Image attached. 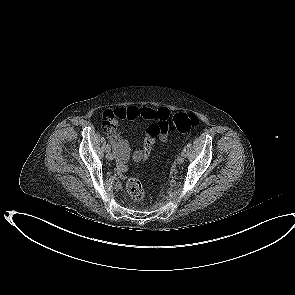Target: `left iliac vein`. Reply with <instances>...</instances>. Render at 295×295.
<instances>
[{"label":"left iliac vein","instance_id":"4c4485c4","mask_svg":"<svg viewBox=\"0 0 295 295\" xmlns=\"http://www.w3.org/2000/svg\"><path fill=\"white\" fill-rule=\"evenodd\" d=\"M177 164L181 165L184 162V156L181 154L177 157Z\"/></svg>","mask_w":295,"mask_h":295}]
</instances>
